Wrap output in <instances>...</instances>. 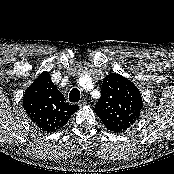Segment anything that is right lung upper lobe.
<instances>
[{
    "label": "right lung upper lobe",
    "mask_w": 174,
    "mask_h": 174,
    "mask_svg": "<svg viewBox=\"0 0 174 174\" xmlns=\"http://www.w3.org/2000/svg\"><path fill=\"white\" fill-rule=\"evenodd\" d=\"M23 107L31 121L43 132L63 127L78 105H70L51 81L49 72H42L23 96Z\"/></svg>",
    "instance_id": "1"
}]
</instances>
